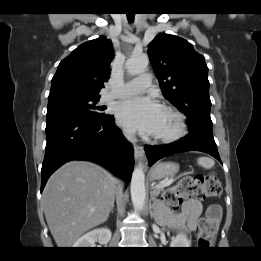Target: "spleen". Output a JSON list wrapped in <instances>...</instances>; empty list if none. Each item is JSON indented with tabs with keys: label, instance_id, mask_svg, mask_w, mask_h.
<instances>
[{
	"label": "spleen",
	"instance_id": "3e777b00",
	"mask_svg": "<svg viewBox=\"0 0 261 261\" xmlns=\"http://www.w3.org/2000/svg\"><path fill=\"white\" fill-rule=\"evenodd\" d=\"M197 164L205 169H210L214 166L215 162L212 158L203 156L197 159Z\"/></svg>",
	"mask_w": 261,
	"mask_h": 261
}]
</instances>
